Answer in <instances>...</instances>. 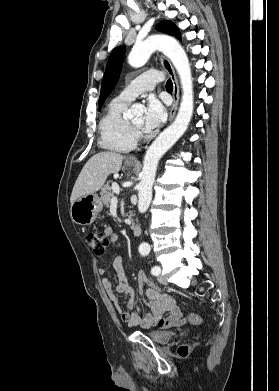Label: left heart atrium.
<instances>
[{"label": "left heart atrium", "mask_w": 279, "mask_h": 391, "mask_svg": "<svg viewBox=\"0 0 279 391\" xmlns=\"http://www.w3.org/2000/svg\"><path fill=\"white\" fill-rule=\"evenodd\" d=\"M166 119V108L154 96H151L146 103L143 126L146 131L159 127Z\"/></svg>", "instance_id": "obj_1"}]
</instances>
